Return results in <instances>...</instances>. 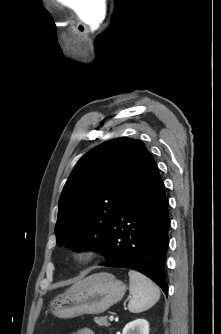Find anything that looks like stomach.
I'll return each instance as SVG.
<instances>
[{"label":"stomach","mask_w":221,"mask_h":334,"mask_svg":"<svg viewBox=\"0 0 221 334\" xmlns=\"http://www.w3.org/2000/svg\"><path fill=\"white\" fill-rule=\"evenodd\" d=\"M125 291L126 285L113 275L95 273L86 278L83 287L55 297L50 302V311L64 319L100 314L119 302Z\"/></svg>","instance_id":"0dacf381"}]
</instances>
